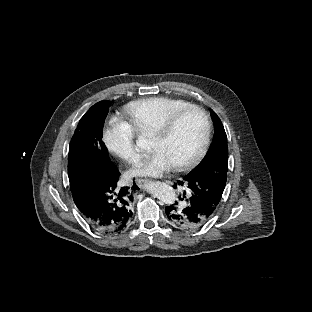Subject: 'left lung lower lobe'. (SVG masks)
Instances as JSON below:
<instances>
[{
    "label": "left lung lower lobe",
    "mask_w": 312,
    "mask_h": 312,
    "mask_svg": "<svg viewBox=\"0 0 312 312\" xmlns=\"http://www.w3.org/2000/svg\"><path fill=\"white\" fill-rule=\"evenodd\" d=\"M227 172L216 169L203 172L195 177H184L178 185L186 187L188 198L185 205L176 202L165 209L168 220L177 227L192 229L202 227L217 212L223 190L226 185ZM174 187H177L175 184ZM186 191L183 198H186ZM183 198H179L183 201Z\"/></svg>",
    "instance_id": "left-lung-lower-lobe-1"
}]
</instances>
